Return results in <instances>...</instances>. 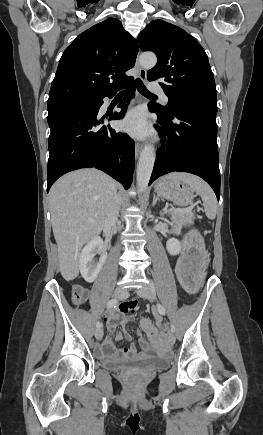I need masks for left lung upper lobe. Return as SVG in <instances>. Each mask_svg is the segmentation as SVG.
<instances>
[{
	"mask_svg": "<svg viewBox=\"0 0 263 435\" xmlns=\"http://www.w3.org/2000/svg\"><path fill=\"white\" fill-rule=\"evenodd\" d=\"M138 42L142 51L157 55L148 80L165 81L161 86L169 102L165 107L153 105L159 112L166 116L173 110L217 113L214 76L207 54L193 36L178 26L154 20L140 32Z\"/></svg>",
	"mask_w": 263,
	"mask_h": 435,
	"instance_id": "obj_1",
	"label": "left lung upper lobe"
}]
</instances>
